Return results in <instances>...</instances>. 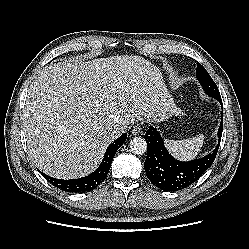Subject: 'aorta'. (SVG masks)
<instances>
[{
    "instance_id": "obj_1",
    "label": "aorta",
    "mask_w": 249,
    "mask_h": 249,
    "mask_svg": "<svg viewBox=\"0 0 249 249\" xmlns=\"http://www.w3.org/2000/svg\"><path fill=\"white\" fill-rule=\"evenodd\" d=\"M130 151L136 155H142L147 150V142L142 137H134L129 143Z\"/></svg>"
}]
</instances>
